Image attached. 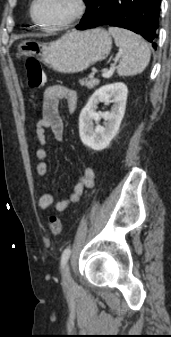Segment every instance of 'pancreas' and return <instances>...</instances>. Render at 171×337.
<instances>
[{
  "instance_id": "cf45deb5",
  "label": "pancreas",
  "mask_w": 171,
  "mask_h": 337,
  "mask_svg": "<svg viewBox=\"0 0 171 337\" xmlns=\"http://www.w3.org/2000/svg\"><path fill=\"white\" fill-rule=\"evenodd\" d=\"M81 86H85L88 89H93L99 84V80L94 78V74H90L88 78L79 80Z\"/></svg>"
}]
</instances>
